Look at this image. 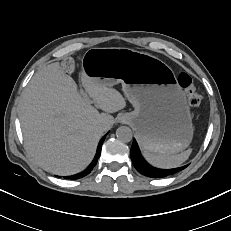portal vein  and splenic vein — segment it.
I'll use <instances>...</instances> for the list:
<instances>
[{"label":"portal vein and splenic vein","instance_id":"18ae733b","mask_svg":"<svg viewBox=\"0 0 231 231\" xmlns=\"http://www.w3.org/2000/svg\"><path fill=\"white\" fill-rule=\"evenodd\" d=\"M83 96L87 104L91 105L93 103V101L87 96L86 93H83Z\"/></svg>","mask_w":231,"mask_h":231}]
</instances>
